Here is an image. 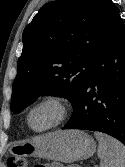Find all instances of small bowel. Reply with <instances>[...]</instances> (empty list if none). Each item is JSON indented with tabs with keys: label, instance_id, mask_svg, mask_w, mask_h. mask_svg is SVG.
Wrapping results in <instances>:
<instances>
[{
	"label": "small bowel",
	"instance_id": "small-bowel-1",
	"mask_svg": "<svg viewBox=\"0 0 125 167\" xmlns=\"http://www.w3.org/2000/svg\"><path fill=\"white\" fill-rule=\"evenodd\" d=\"M37 167H59V166H57L56 164L50 163V164L37 165Z\"/></svg>",
	"mask_w": 125,
	"mask_h": 167
}]
</instances>
